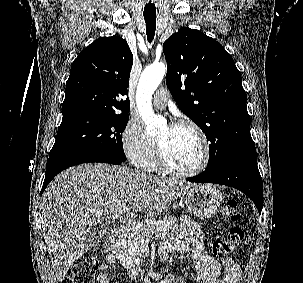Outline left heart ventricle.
Wrapping results in <instances>:
<instances>
[{
    "instance_id": "obj_1",
    "label": "left heart ventricle",
    "mask_w": 303,
    "mask_h": 283,
    "mask_svg": "<svg viewBox=\"0 0 303 283\" xmlns=\"http://www.w3.org/2000/svg\"><path fill=\"white\" fill-rule=\"evenodd\" d=\"M168 162L176 169L188 171L197 167L202 158V146L190 127L164 126L157 136Z\"/></svg>"
}]
</instances>
